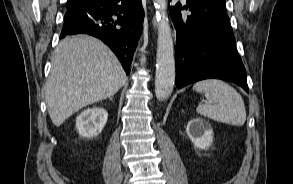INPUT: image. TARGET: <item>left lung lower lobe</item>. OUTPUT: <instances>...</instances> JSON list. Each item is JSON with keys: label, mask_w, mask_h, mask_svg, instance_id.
<instances>
[{"label": "left lung lower lobe", "mask_w": 293, "mask_h": 184, "mask_svg": "<svg viewBox=\"0 0 293 184\" xmlns=\"http://www.w3.org/2000/svg\"><path fill=\"white\" fill-rule=\"evenodd\" d=\"M171 0H169L170 2ZM176 28V86L217 78L249 92L246 71L236 49L225 0H186L170 7ZM189 11L182 15L179 10Z\"/></svg>", "instance_id": "obj_1"}]
</instances>
